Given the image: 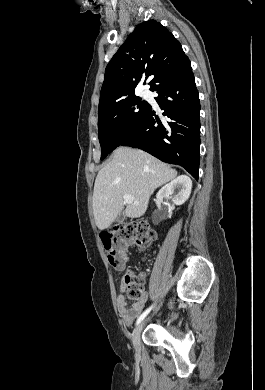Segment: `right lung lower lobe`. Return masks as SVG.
<instances>
[{"instance_id":"1","label":"right lung lower lobe","mask_w":265,"mask_h":390,"mask_svg":"<svg viewBox=\"0 0 265 390\" xmlns=\"http://www.w3.org/2000/svg\"><path fill=\"white\" fill-rule=\"evenodd\" d=\"M165 118L150 106L145 118L121 142L185 168L196 180L199 170L200 102L190 61L155 90Z\"/></svg>"}]
</instances>
